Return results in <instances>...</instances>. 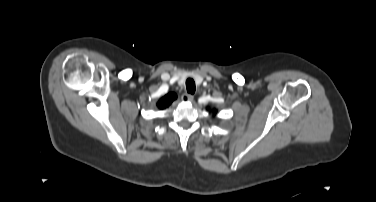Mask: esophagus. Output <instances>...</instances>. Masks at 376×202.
Returning <instances> with one entry per match:
<instances>
[{"label": "esophagus", "instance_id": "34e87169", "mask_svg": "<svg viewBox=\"0 0 376 202\" xmlns=\"http://www.w3.org/2000/svg\"><path fill=\"white\" fill-rule=\"evenodd\" d=\"M181 99L183 102H192L194 97L191 94L184 93Z\"/></svg>", "mask_w": 376, "mask_h": 202}]
</instances>
